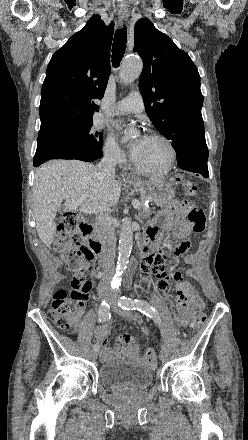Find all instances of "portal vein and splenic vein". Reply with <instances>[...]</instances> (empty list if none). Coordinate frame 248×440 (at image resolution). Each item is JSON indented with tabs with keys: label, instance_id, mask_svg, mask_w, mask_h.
I'll use <instances>...</instances> for the list:
<instances>
[{
	"label": "portal vein and splenic vein",
	"instance_id": "portal-vein-and-splenic-vein-1",
	"mask_svg": "<svg viewBox=\"0 0 248 440\" xmlns=\"http://www.w3.org/2000/svg\"><path fill=\"white\" fill-rule=\"evenodd\" d=\"M87 199V195L81 196L76 199H68L65 201L64 205L66 209L69 210H77L79 208L80 212L83 213H93L95 211H109V207H100L92 203H85L84 201ZM132 205L136 209H141V203L138 200H133Z\"/></svg>",
	"mask_w": 248,
	"mask_h": 440
}]
</instances>
